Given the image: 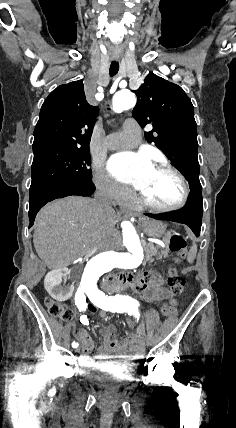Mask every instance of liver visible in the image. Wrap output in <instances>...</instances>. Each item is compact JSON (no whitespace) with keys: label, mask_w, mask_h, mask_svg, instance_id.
I'll use <instances>...</instances> for the list:
<instances>
[{"label":"liver","mask_w":236,"mask_h":428,"mask_svg":"<svg viewBox=\"0 0 236 428\" xmlns=\"http://www.w3.org/2000/svg\"><path fill=\"white\" fill-rule=\"evenodd\" d=\"M117 216L101 210L96 200L68 196L44 206L37 214L34 248L47 268H66L94 248L111 250L116 244Z\"/></svg>","instance_id":"1"}]
</instances>
